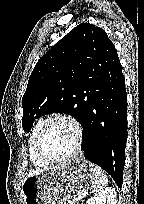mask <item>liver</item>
Returning a JSON list of instances; mask_svg holds the SVG:
<instances>
[{
	"label": "liver",
	"instance_id": "liver-1",
	"mask_svg": "<svg viewBox=\"0 0 144 204\" xmlns=\"http://www.w3.org/2000/svg\"><path fill=\"white\" fill-rule=\"evenodd\" d=\"M49 169H50V168H44V169H36V170L30 171V172L26 175L25 179L28 178V177H30V176H32V175H34V174H39V173L45 172V171H47V170H49Z\"/></svg>",
	"mask_w": 144,
	"mask_h": 204
}]
</instances>
